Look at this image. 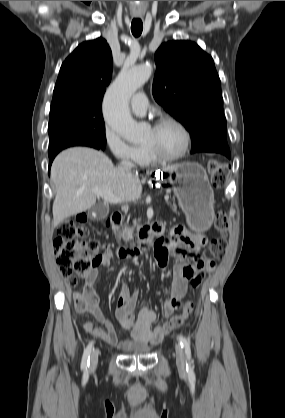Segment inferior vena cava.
<instances>
[{"instance_id":"inferior-vena-cava-1","label":"inferior vena cava","mask_w":285,"mask_h":418,"mask_svg":"<svg viewBox=\"0 0 285 418\" xmlns=\"http://www.w3.org/2000/svg\"><path fill=\"white\" fill-rule=\"evenodd\" d=\"M120 166H121V168H122V170H123L124 172L128 173L129 175H134V174H133L134 164H133V163H131L130 161L123 160V161L120 163Z\"/></svg>"}]
</instances>
